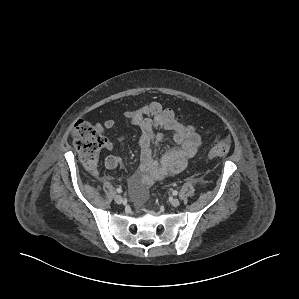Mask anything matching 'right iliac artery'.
<instances>
[{
  "instance_id": "1",
  "label": "right iliac artery",
  "mask_w": 299,
  "mask_h": 299,
  "mask_svg": "<svg viewBox=\"0 0 299 299\" xmlns=\"http://www.w3.org/2000/svg\"><path fill=\"white\" fill-rule=\"evenodd\" d=\"M116 191H117L118 193H121V192H122V189H121V188H117Z\"/></svg>"
}]
</instances>
